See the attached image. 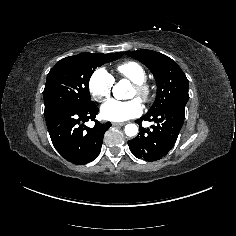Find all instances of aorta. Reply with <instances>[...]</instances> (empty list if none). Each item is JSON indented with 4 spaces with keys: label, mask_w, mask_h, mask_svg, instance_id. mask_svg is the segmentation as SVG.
<instances>
[{
    "label": "aorta",
    "mask_w": 236,
    "mask_h": 236,
    "mask_svg": "<svg viewBox=\"0 0 236 236\" xmlns=\"http://www.w3.org/2000/svg\"><path fill=\"white\" fill-rule=\"evenodd\" d=\"M125 134L129 137L135 136L138 133V127L136 124H127L124 128Z\"/></svg>",
    "instance_id": "obj_1"
}]
</instances>
